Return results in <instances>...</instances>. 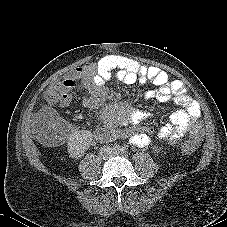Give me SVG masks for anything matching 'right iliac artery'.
Wrapping results in <instances>:
<instances>
[{
    "instance_id": "right-iliac-artery-1",
    "label": "right iliac artery",
    "mask_w": 227,
    "mask_h": 227,
    "mask_svg": "<svg viewBox=\"0 0 227 227\" xmlns=\"http://www.w3.org/2000/svg\"><path fill=\"white\" fill-rule=\"evenodd\" d=\"M119 149H120L119 145H115V146L113 147V151H119Z\"/></svg>"
}]
</instances>
